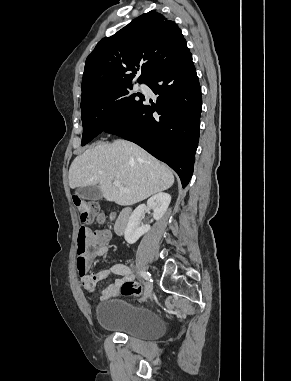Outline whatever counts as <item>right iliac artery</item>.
<instances>
[{"label": "right iliac artery", "mask_w": 291, "mask_h": 381, "mask_svg": "<svg viewBox=\"0 0 291 381\" xmlns=\"http://www.w3.org/2000/svg\"><path fill=\"white\" fill-rule=\"evenodd\" d=\"M140 275L147 280L148 282H152L151 274L148 272H140Z\"/></svg>", "instance_id": "right-iliac-artery-1"}]
</instances>
